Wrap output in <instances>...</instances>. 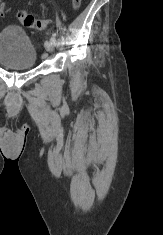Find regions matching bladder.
Returning a JSON list of instances; mask_svg holds the SVG:
<instances>
[{
	"label": "bladder",
	"instance_id": "obj_1",
	"mask_svg": "<svg viewBox=\"0 0 163 235\" xmlns=\"http://www.w3.org/2000/svg\"><path fill=\"white\" fill-rule=\"evenodd\" d=\"M37 49L23 28L9 25L0 31V64L9 69H32Z\"/></svg>",
	"mask_w": 163,
	"mask_h": 235
}]
</instances>
